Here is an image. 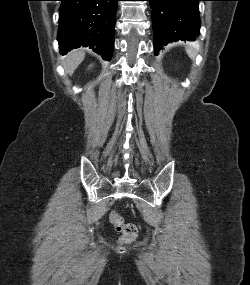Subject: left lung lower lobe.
Returning <instances> with one entry per match:
<instances>
[{
  "label": "left lung lower lobe",
  "instance_id": "obj_1",
  "mask_svg": "<svg viewBox=\"0 0 250 285\" xmlns=\"http://www.w3.org/2000/svg\"><path fill=\"white\" fill-rule=\"evenodd\" d=\"M152 9L154 49L172 41H194L199 34L198 3L203 0H148Z\"/></svg>",
  "mask_w": 250,
  "mask_h": 285
}]
</instances>
